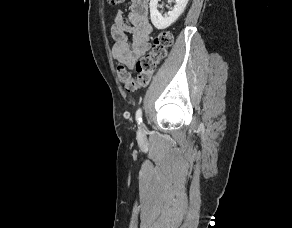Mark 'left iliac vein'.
I'll list each match as a JSON object with an SVG mask.
<instances>
[{
    "label": "left iliac vein",
    "mask_w": 292,
    "mask_h": 228,
    "mask_svg": "<svg viewBox=\"0 0 292 228\" xmlns=\"http://www.w3.org/2000/svg\"><path fill=\"white\" fill-rule=\"evenodd\" d=\"M138 133H139V135H142L144 133V128L143 127H140Z\"/></svg>",
    "instance_id": "left-iliac-vein-1"
}]
</instances>
